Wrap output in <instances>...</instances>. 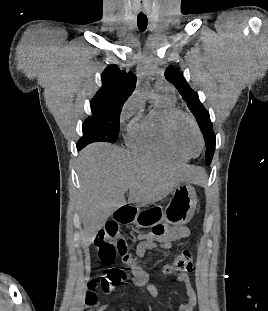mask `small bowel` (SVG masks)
Here are the masks:
<instances>
[{
  "mask_svg": "<svg viewBox=\"0 0 268 311\" xmlns=\"http://www.w3.org/2000/svg\"><path fill=\"white\" fill-rule=\"evenodd\" d=\"M190 236V229L187 226L180 228L168 227L157 224L153 227L152 232L138 236L134 243H136L135 256L128 262L130 269V280L138 287H146L147 291L154 297L159 294V290L152 284L148 283L149 276L139 263V259L144 256L146 251L152 249H170L174 243L180 242ZM176 282H180L186 289L188 297L187 302L181 303L178 307L179 311H194L198 303L197 293L185 272H181L175 278ZM107 305H102L97 311H104Z\"/></svg>",
  "mask_w": 268,
  "mask_h": 311,
  "instance_id": "1",
  "label": "small bowel"
}]
</instances>
